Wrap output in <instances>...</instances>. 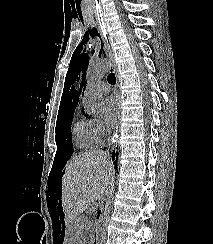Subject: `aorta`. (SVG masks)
<instances>
[{"label": "aorta", "instance_id": "762f6f07", "mask_svg": "<svg viewBox=\"0 0 213 244\" xmlns=\"http://www.w3.org/2000/svg\"><path fill=\"white\" fill-rule=\"evenodd\" d=\"M110 67L107 59L100 58L93 59L87 68V85L83 95V104L87 113L92 116H98L103 111V98L96 83L105 76Z\"/></svg>", "mask_w": 213, "mask_h": 244}]
</instances>
